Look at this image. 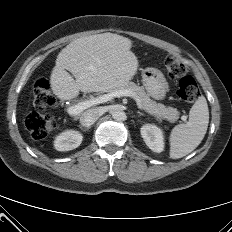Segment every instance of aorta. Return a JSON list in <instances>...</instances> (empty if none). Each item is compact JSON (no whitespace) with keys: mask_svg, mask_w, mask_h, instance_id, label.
I'll use <instances>...</instances> for the list:
<instances>
[{"mask_svg":"<svg viewBox=\"0 0 232 232\" xmlns=\"http://www.w3.org/2000/svg\"><path fill=\"white\" fill-rule=\"evenodd\" d=\"M112 117L116 121H124L126 119V113L122 110H115L112 112Z\"/></svg>","mask_w":232,"mask_h":232,"instance_id":"1","label":"aorta"}]
</instances>
